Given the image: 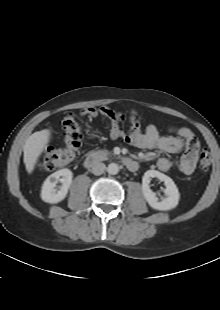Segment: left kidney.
I'll list each match as a JSON object with an SVG mask.
<instances>
[{
  "label": "left kidney",
  "mask_w": 220,
  "mask_h": 310,
  "mask_svg": "<svg viewBox=\"0 0 220 310\" xmlns=\"http://www.w3.org/2000/svg\"><path fill=\"white\" fill-rule=\"evenodd\" d=\"M154 177L158 178L160 181H163L166 186L164 190L166 198H163L162 201H158L156 193L150 189L149 184L151 179ZM142 192L148 204L153 209L160 211L174 209L178 205L180 198L178 188L174 181L167 175L156 170H148L144 173L142 177Z\"/></svg>",
  "instance_id": "left-kidney-1"
}]
</instances>
